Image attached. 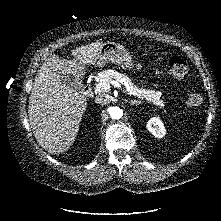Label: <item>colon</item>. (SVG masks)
I'll list each match as a JSON object with an SVG mask.
<instances>
[{
  "label": "colon",
  "mask_w": 221,
  "mask_h": 221,
  "mask_svg": "<svg viewBox=\"0 0 221 221\" xmlns=\"http://www.w3.org/2000/svg\"><path fill=\"white\" fill-rule=\"evenodd\" d=\"M168 73L176 78H182L187 73V64L185 61L177 56L171 57L167 64ZM203 103V96L197 91H192L186 98V104L189 107H199Z\"/></svg>",
  "instance_id": "5ec220e1"
}]
</instances>
